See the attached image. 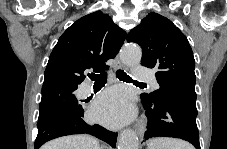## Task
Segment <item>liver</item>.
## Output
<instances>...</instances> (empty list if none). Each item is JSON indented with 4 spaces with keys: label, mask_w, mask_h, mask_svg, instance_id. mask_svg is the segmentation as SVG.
Listing matches in <instances>:
<instances>
[{
    "label": "liver",
    "mask_w": 227,
    "mask_h": 149,
    "mask_svg": "<svg viewBox=\"0 0 227 149\" xmlns=\"http://www.w3.org/2000/svg\"><path fill=\"white\" fill-rule=\"evenodd\" d=\"M41 149H100V145L89 135H69L48 142Z\"/></svg>",
    "instance_id": "liver-1"
}]
</instances>
